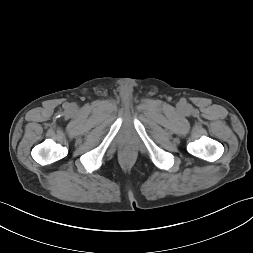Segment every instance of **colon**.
<instances>
[{
	"label": "colon",
	"mask_w": 253,
	"mask_h": 253,
	"mask_svg": "<svg viewBox=\"0 0 253 253\" xmlns=\"http://www.w3.org/2000/svg\"><path fill=\"white\" fill-rule=\"evenodd\" d=\"M130 153H131V152H130L129 150H127V151L125 152V155H126V156H129Z\"/></svg>",
	"instance_id": "1"
}]
</instances>
